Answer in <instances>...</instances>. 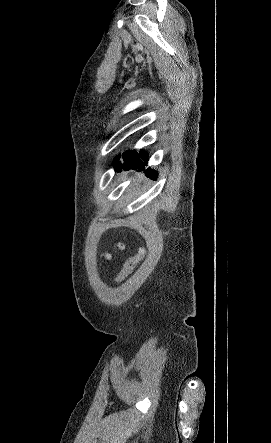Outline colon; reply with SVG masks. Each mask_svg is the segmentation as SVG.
Segmentation results:
<instances>
[{
    "mask_svg": "<svg viewBox=\"0 0 271 443\" xmlns=\"http://www.w3.org/2000/svg\"><path fill=\"white\" fill-rule=\"evenodd\" d=\"M122 247V245H120ZM145 249L140 248L138 252L129 258L124 265V268L121 270L119 275L117 276L116 282L124 281L136 268V266L142 261L145 256Z\"/></svg>",
    "mask_w": 271,
    "mask_h": 443,
    "instance_id": "obj_1",
    "label": "colon"
}]
</instances>
